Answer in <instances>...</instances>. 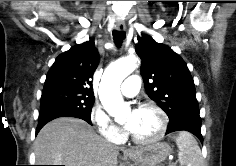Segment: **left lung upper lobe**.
Instances as JSON below:
<instances>
[{"label": "left lung upper lobe", "mask_w": 236, "mask_h": 166, "mask_svg": "<svg viewBox=\"0 0 236 166\" xmlns=\"http://www.w3.org/2000/svg\"><path fill=\"white\" fill-rule=\"evenodd\" d=\"M136 52L142 60L141 75L148 96L167 114L169 121L198 106L193 78L184 60L152 37H138Z\"/></svg>", "instance_id": "1"}]
</instances>
